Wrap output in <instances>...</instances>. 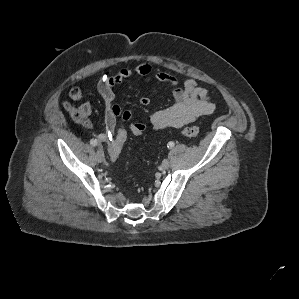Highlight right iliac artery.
<instances>
[{
	"label": "right iliac artery",
	"mask_w": 299,
	"mask_h": 299,
	"mask_svg": "<svg viewBox=\"0 0 299 299\" xmlns=\"http://www.w3.org/2000/svg\"><path fill=\"white\" fill-rule=\"evenodd\" d=\"M97 140L96 139H91L90 140V144L92 145V146H96L97 145Z\"/></svg>",
	"instance_id": "right-iliac-artery-1"
}]
</instances>
